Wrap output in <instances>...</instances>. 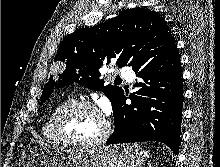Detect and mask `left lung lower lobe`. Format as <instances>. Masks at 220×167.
Instances as JSON below:
<instances>
[{"mask_svg": "<svg viewBox=\"0 0 220 167\" xmlns=\"http://www.w3.org/2000/svg\"><path fill=\"white\" fill-rule=\"evenodd\" d=\"M138 90L124 93L113 106L115 130L106 144L159 141L178 154L183 105V80L177 48L152 63L134 69Z\"/></svg>", "mask_w": 220, "mask_h": 167, "instance_id": "left-lung-lower-lobe-1", "label": "left lung lower lobe"}]
</instances>
